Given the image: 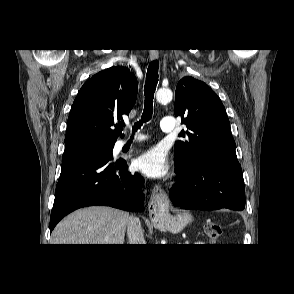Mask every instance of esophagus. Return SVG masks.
I'll return each mask as SVG.
<instances>
[{
  "instance_id": "34e87169",
  "label": "esophagus",
  "mask_w": 294,
  "mask_h": 294,
  "mask_svg": "<svg viewBox=\"0 0 294 294\" xmlns=\"http://www.w3.org/2000/svg\"><path fill=\"white\" fill-rule=\"evenodd\" d=\"M151 60H156L159 57L158 50L149 52ZM170 200L163 188L155 184L151 190V199L148 205L149 217L153 222L159 221L169 209Z\"/></svg>"
}]
</instances>
